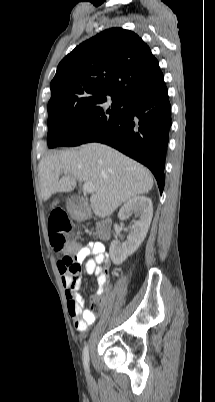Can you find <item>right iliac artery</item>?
<instances>
[{"label": "right iliac artery", "instance_id": "82829eb1", "mask_svg": "<svg viewBox=\"0 0 215 402\" xmlns=\"http://www.w3.org/2000/svg\"><path fill=\"white\" fill-rule=\"evenodd\" d=\"M83 364L85 370L88 372L89 371V349L88 345H85L83 349Z\"/></svg>", "mask_w": 215, "mask_h": 402}]
</instances>
